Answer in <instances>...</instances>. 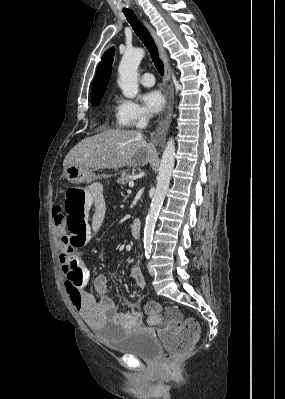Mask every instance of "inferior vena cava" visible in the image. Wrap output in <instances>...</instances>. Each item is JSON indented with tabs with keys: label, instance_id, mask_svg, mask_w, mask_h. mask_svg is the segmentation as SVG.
<instances>
[{
	"label": "inferior vena cava",
	"instance_id": "obj_1",
	"mask_svg": "<svg viewBox=\"0 0 285 399\" xmlns=\"http://www.w3.org/2000/svg\"><path fill=\"white\" fill-rule=\"evenodd\" d=\"M148 121H149L148 116L145 115V114H142V115L139 117V119H138V122H137V124H136V127H137L139 130H142V129H144V128L147 126Z\"/></svg>",
	"mask_w": 285,
	"mask_h": 399
}]
</instances>
